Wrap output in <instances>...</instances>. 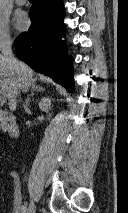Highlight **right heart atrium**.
<instances>
[{
    "label": "right heart atrium",
    "mask_w": 128,
    "mask_h": 213,
    "mask_svg": "<svg viewBox=\"0 0 128 213\" xmlns=\"http://www.w3.org/2000/svg\"><path fill=\"white\" fill-rule=\"evenodd\" d=\"M11 42V30L9 19L6 15L0 12V48L8 45Z\"/></svg>",
    "instance_id": "1"
}]
</instances>
